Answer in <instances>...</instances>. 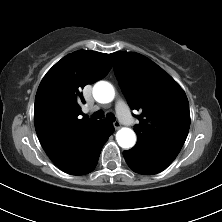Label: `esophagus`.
<instances>
[{"label": "esophagus", "mask_w": 222, "mask_h": 222, "mask_svg": "<svg viewBox=\"0 0 222 222\" xmlns=\"http://www.w3.org/2000/svg\"><path fill=\"white\" fill-rule=\"evenodd\" d=\"M113 125H114V128H115V129H119V128L121 127V124H120L119 121H115V122L113 123Z\"/></svg>", "instance_id": "1"}]
</instances>
